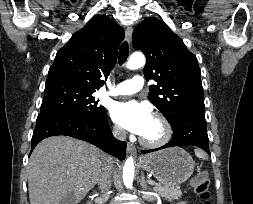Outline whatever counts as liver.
Wrapping results in <instances>:
<instances>
[{
    "label": "liver",
    "instance_id": "obj_1",
    "mask_svg": "<svg viewBox=\"0 0 253 204\" xmlns=\"http://www.w3.org/2000/svg\"><path fill=\"white\" fill-rule=\"evenodd\" d=\"M107 159L115 163L97 147L72 137L44 139L28 164L30 204H61L67 195L79 203L98 182Z\"/></svg>",
    "mask_w": 253,
    "mask_h": 204
}]
</instances>
